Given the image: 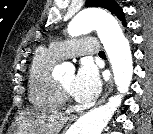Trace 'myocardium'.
I'll use <instances>...</instances> for the list:
<instances>
[{
	"mask_svg": "<svg viewBox=\"0 0 153 134\" xmlns=\"http://www.w3.org/2000/svg\"><path fill=\"white\" fill-rule=\"evenodd\" d=\"M58 89L64 99L70 98V92L59 82L57 81Z\"/></svg>",
	"mask_w": 153,
	"mask_h": 134,
	"instance_id": "1",
	"label": "myocardium"
}]
</instances>
